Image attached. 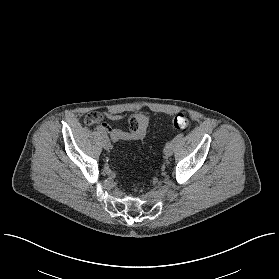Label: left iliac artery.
<instances>
[{"mask_svg": "<svg viewBox=\"0 0 279 279\" xmlns=\"http://www.w3.org/2000/svg\"><path fill=\"white\" fill-rule=\"evenodd\" d=\"M183 137V133L178 134L174 140L172 141L173 143L177 142L179 139H181Z\"/></svg>", "mask_w": 279, "mask_h": 279, "instance_id": "1", "label": "left iliac artery"}]
</instances>
